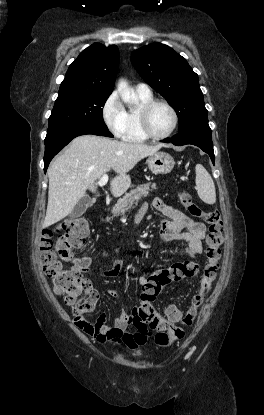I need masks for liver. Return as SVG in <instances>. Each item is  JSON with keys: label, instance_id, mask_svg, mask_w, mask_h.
Returning <instances> with one entry per match:
<instances>
[{"label": "liver", "instance_id": "liver-1", "mask_svg": "<svg viewBox=\"0 0 264 415\" xmlns=\"http://www.w3.org/2000/svg\"><path fill=\"white\" fill-rule=\"evenodd\" d=\"M163 146L128 143L95 135L73 139L48 168V205L43 227L68 216L87 189L96 191V181L110 169L117 173L110 183L112 194L115 197L124 194L131 185L129 171Z\"/></svg>", "mask_w": 264, "mask_h": 415}]
</instances>
